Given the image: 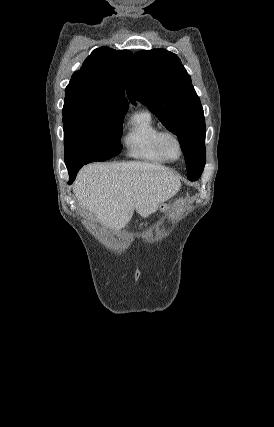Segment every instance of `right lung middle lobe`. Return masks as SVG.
<instances>
[{"label": "right lung middle lobe", "instance_id": "dd1d6c3e", "mask_svg": "<svg viewBox=\"0 0 274 427\" xmlns=\"http://www.w3.org/2000/svg\"><path fill=\"white\" fill-rule=\"evenodd\" d=\"M128 106L86 104L63 109L66 166L105 161L121 151Z\"/></svg>", "mask_w": 274, "mask_h": 427}]
</instances>
